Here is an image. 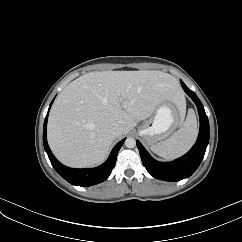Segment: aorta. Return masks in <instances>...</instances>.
I'll use <instances>...</instances> for the list:
<instances>
[{
    "instance_id": "aorta-1",
    "label": "aorta",
    "mask_w": 242,
    "mask_h": 242,
    "mask_svg": "<svg viewBox=\"0 0 242 242\" xmlns=\"http://www.w3.org/2000/svg\"><path fill=\"white\" fill-rule=\"evenodd\" d=\"M125 146L127 148H134L136 146V140L134 138H127L125 140Z\"/></svg>"
}]
</instances>
